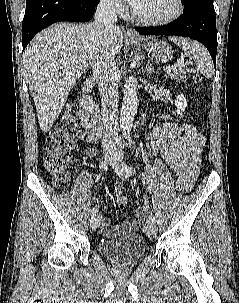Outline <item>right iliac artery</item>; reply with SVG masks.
<instances>
[{
	"mask_svg": "<svg viewBox=\"0 0 239 303\" xmlns=\"http://www.w3.org/2000/svg\"><path fill=\"white\" fill-rule=\"evenodd\" d=\"M100 168H101L103 171H107L108 165H107L106 160H105V161H102V162L100 163ZM97 212H98V208H97V206H96V207H94V208L91 210V216H95Z\"/></svg>",
	"mask_w": 239,
	"mask_h": 303,
	"instance_id": "1",
	"label": "right iliac artery"
}]
</instances>
